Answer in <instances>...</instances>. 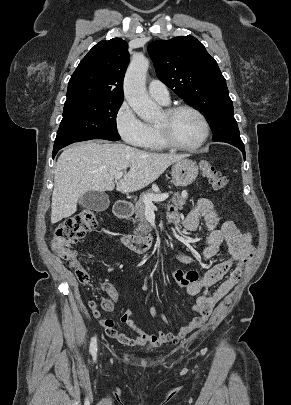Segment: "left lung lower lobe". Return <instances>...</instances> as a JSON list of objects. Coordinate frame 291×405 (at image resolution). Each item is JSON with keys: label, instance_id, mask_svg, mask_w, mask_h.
Returning a JSON list of instances; mask_svg holds the SVG:
<instances>
[{"label": "left lung lower lobe", "instance_id": "0a47b994", "mask_svg": "<svg viewBox=\"0 0 291 405\" xmlns=\"http://www.w3.org/2000/svg\"><path fill=\"white\" fill-rule=\"evenodd\" d=\"M226 143H229V144L239 148L242 151L243 157L245 159L246 156H245V150H244V144L243 143H233V142H226Z\"/></svg>", "mask_w": 291, "mask_h": 405}]
</instances>
